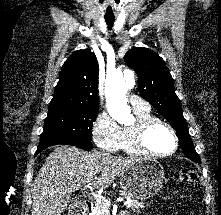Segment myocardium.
I'll use <instances>...</instances> for the list:
<instances>
[{"mask_svg": "<svg viewBox=\"0 0 221 215\" xmlns=\"http://www.w3.org/2000/svg\"><path fill=\"white\" fill-rule=\"evenodd\" d=\"M156 125H163L171 133L174 140V147L171 151L165 153H158L150 150L146 144V137L148 132ZM131 140L134 149L143 155L155 158H163L174 154L179 146V139L175 129L166 121L152 117L143 121L136 122L131 130Z\"/></svg>", "mask_w": 221, "mask_h": 215, "instance_id": "myocardium-1", "label": "myocardium"}]
</instances>
